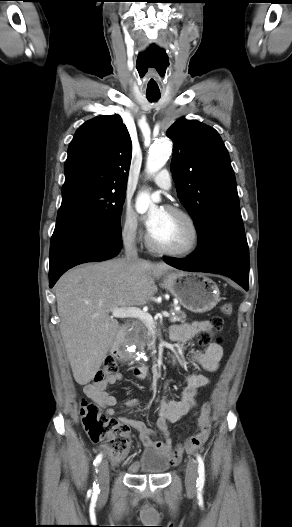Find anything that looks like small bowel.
I'll return each mask as SVG.
<instances>
[{
    "instance_id": "1",
    "label": "small bowel",
    "mask_w": 292,
    "mask_h": 527,
    "mask_svg": "<svg viewBox=\"0 0 292 527\" xmlns=\"http://www.w3.org/2000/svg\"><path fill=\"white\" fill-rule=\"evenodd\" d=\"M212 326L208 321H194L174 325L170 331V338L176 342H186L194 338L203 331L211 330ZM223 355V349L218 344H210L202 351L195 353L193 360L205 371L215 372L220 364ZM122 379L121 373H115L107 377L100 383L88 384L84 387L85 394L97 402L104 410L105 414L111 416L114 414L113 406L117 400L108 390L109 385L115 384ZM186 385L183 388L180 398L177 400L163 399L158 409L157 427L162 433L164 440H154L156 431L147 427L146 424L139 420L121 417L120 420L127 423L138 434L140 442L147 448L154 449L165 455L171 464H176L181 459L184 450L193 452L200 448L208 439L211 429V406L204 404L200 410L194 411L196 407V395L200 388L206 387L210 380L203 374H188L185 376ZM138 404L137 399H130L125 402L128 407ZM190 412H194L197 418L196 433L185 441H178L173 447L172 440L168 431V423H175Z\"/></svg>"
}]
</instances>
